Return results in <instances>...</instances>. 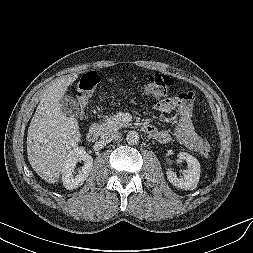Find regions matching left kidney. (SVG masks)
I'll list each match as a JSON object with an SVG mask.
<instances>
[{"label": "left kidney", "instance_id": "obj_1", "mask_svg": "<svg viewBox=\"0 0 253 253\" xmlns=\"http://www.w3.org/2000/svg\"><path fill=\"white\" fill-rule=\"evenodd\" d=\"M178 158L187 162L188 169L184 170L182 177H177L171 169L167 171V179L177 188L184 190H193L197 187L200 178V163L192 155L186 152H180Z\"/></svg>", "mask_w": 253, "mask_h": 253}]
</instances>
